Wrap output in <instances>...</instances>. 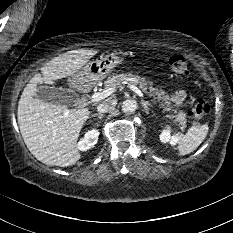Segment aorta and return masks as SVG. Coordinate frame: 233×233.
I'll use <instances>...</instances> for the list:
<instances>
[{"label": "aorta", "mask_w": 233, "mask_h": 233, "mask_svg": "<svg viewBox=\"0 0 233 233\" xmlns=\"http://www.w3.org/2000/svg\"><path fill=\"white\" fill-rule=\"evenodd\" d=\"M121 108L124 113H133L136 110L137 106L133 100L127 99L123 101Z\"/></svg>", "instance_id": "762f6f07"}]
</instances>
